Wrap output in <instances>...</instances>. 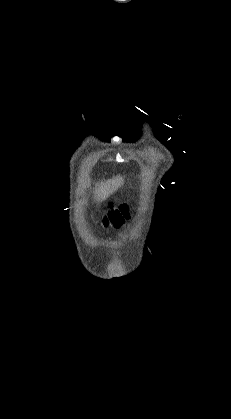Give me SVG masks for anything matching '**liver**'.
<instances>
[{
    "instance_id": "obj_1",
    "label": "liver",
    "mask_w": 231,
    "mask_h": 419,
    "mask_svg": "<svg viewBox=\"0 0 231 419\" xmlns=\"http://www.w3.org/2000/svg\"><path fill=\"white\" fill-rule=\"evenodd\" d=\"M124 183V179L121 176L114 177L106 182H101L96 185L94 194L96 201H103L111 194H113L118 188Z\"/></svg>"
}]
</instances>
